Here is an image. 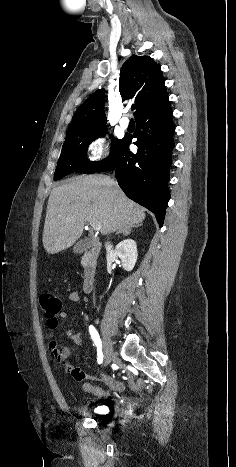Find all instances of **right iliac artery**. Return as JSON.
<instances>
[{
    "label": "right iliac artery",
    "instance_id": "82829eb1",
    "mask_svg": "<svg viewBox=\"0 0 236 467\" xmlns=\"http://www.w3.org/2000/svg\"><path fill=\"white\" fill-rule=\"evenodd\" d=\"M89 333L91 335V338L94 344L97 347V361L99 364H101L103 362V353H102V342H101L100 336L97 330L95 329V327L92 325L89 326Z\"/></svg>",
    "mask_w": 236,
    "mask_h": 467
}]
</instances>
